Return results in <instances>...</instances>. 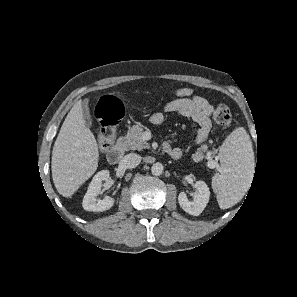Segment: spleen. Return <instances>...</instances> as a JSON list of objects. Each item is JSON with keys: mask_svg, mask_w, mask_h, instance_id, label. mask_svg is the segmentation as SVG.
Here are the masks:
<instances>
[{"mask_svg": "<svg viewBox=\"0 0 297 297\" xmlns=\"http://www.w3.org/2000/svg\"><path fill=\"white\" fill-rule=\"evenodd\" d=\"M221 167L212 179L220 201L238 202L253 174L254 152L249 135L243 127L226 138L219 151Z\"/></svg>", "mask_w": 297, "mask_h": 297, "instance_id": "1", "label": "spleen"}]
</instances>
